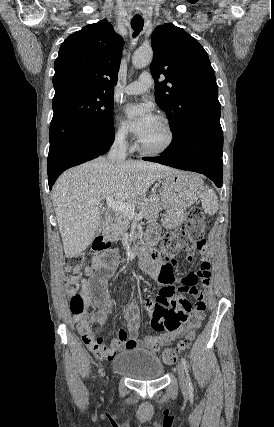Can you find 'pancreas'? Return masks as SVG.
Masks as SVG:
<instances>
[{
  "label": "pancreas",
  "instance_id": "cf45deb5",
  "mask_svg": "<svg viewBox=\"0 0 274 427\" xmlns=\"http://www.w3.org/2000/svg\"><path fill=\"white\" fill-rule=\"evenodd\" d=\"M134 204L140 212H142L145 219H155L159 217L163 204H160L158 196H149V198H137ZM128 215L120 214L116 212L114 219H107L104 225L103 235L106 239H120L121 235H124L129 225Z\"/></svg>",
  "mask_w": 274,
  "mask_h": 427
}]
</instances>
